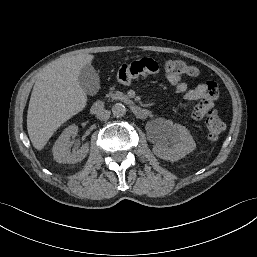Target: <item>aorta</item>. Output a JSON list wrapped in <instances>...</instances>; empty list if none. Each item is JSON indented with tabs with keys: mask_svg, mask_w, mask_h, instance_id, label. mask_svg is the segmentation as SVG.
<instances>
[{
	"mask_svg": "<svg viewBox=\"0 0 257 257\" xmlns=\"http://www.w3.org/2000/svg\"><path fill=\"white\" fill-rule=\"evenodd\" d=\"M112 113L116 117H123L126 114V107L121 103H116L112 107Z\"/></svg>",
	"mask_w": 257,
	"mask_h": 257,
	"instance_id": "aorta-1",
	"label": "aorta"
}]
</instances>
